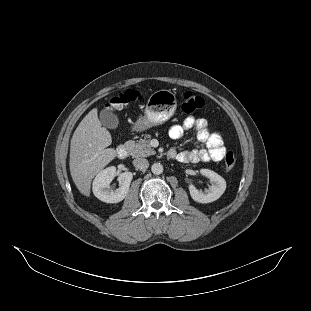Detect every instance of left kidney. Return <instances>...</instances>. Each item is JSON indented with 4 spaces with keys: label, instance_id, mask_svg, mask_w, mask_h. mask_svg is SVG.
Wrapping results in <instances>:
<instances>
[{
    "label": "left kidney",
    "instance_id": "obj_1",
    "mask_svg": "<svg viewBox=\"0 0 311 311\" xmlns=\"http://www.w3.org/2000/svg\"><path fill=\"white\" fill-rule=\"evenodd\" d=\"M200 174L211 180V187L205 191L197 189L193 183L188 184L191 197L200 203H209L217 200L226 190V181L216 172L209 169H201Z\"/></svg>",
    "mask_w": 311,
    "mask_h": 311
}]
</instances>
